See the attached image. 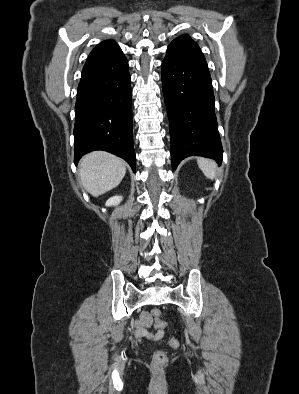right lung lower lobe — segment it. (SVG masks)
Wrapping results in <instances>:
<instances>
[{
  "label": "right lung lower lobe",
  "instance_id": "98d812e1",
  "mask_svg": "<svg viewBox=\"0 0 299 394\" xmlns=\"http://www.w3.org/2000/svg\"><path fill=\"white\" fill-rule=\"evenodd\" d=\"M75 112V164L87 152L104 150L135 171L130 74L124 55L84 65Z\"/></svg>",
  "mask_w": 299,
  "mask_h": 394
}]
</instances>
